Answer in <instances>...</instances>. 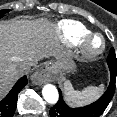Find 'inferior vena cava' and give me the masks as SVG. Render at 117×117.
Returning <instances> with one entry per match:
<instances>
[{
	"instance_id": "1",
	"label": "inferior vena cava",
	"mask_w": 117,
	"mask_h": 117,
	"mask_svg": "<svg viewBox=\"0 0 117 117\" xmlns=\"http://www.w3.org/2000/svg\"><path fill=\"white\" fill-rule=\"evenodd\" d=\"M30 68H31V66L30 65H21L20 66V71L22 72V73H28L29 71H30Z\"/></svg>"
}]
</instances>
